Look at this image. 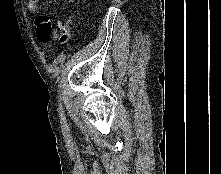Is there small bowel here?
Returning <instances> with one entry per match:
<instances>
[{"mask_svg": "<svg viewBox=\"0 0 221 174\" xmlns=\"http://www.w3.org/2000/svg\"><path fill=\"white\" fill-rule=\"evenodd\" d=\"M38 2L39 0H27L26 6L30 13H37ZM35 25L37 37L42 43L48 42L50 38L57 40L60 43H66L70 37L69 20L57 21V29H54L47 17L38 16L35 19Z\"/></svg>", "mask_w": 221, "mask_h": 174, "instance_id": "obj_1", "label": "small bowel"}]
</instances>
